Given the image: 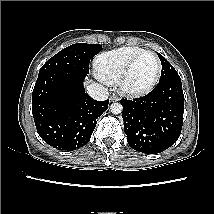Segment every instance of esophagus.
Returning a JSON list of instances; mask_svg holds the SVG:
<instances>
[{"label": "esophagus", "mask_w": 214, "mask_h": 214, "mask_svg": "<svg viewBox=\"0 0 214 214\" xmlns=\"http://www.w3.org/2000/svg\"><path fill=\"white\" fill-rule=\"evenodd\" d=\"M109 100H110L111 102H116V101L119 100V97H118L117 95H111L110 98H109Z\"/></svg>", "instance_id": "1"}]
</instances>
